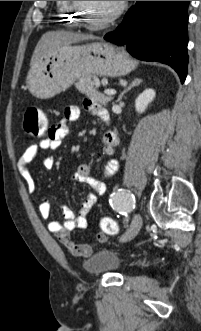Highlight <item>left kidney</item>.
<instances>
[{"instance_id":"left-kidney-1","label":"left kidney","mask_w":201,"mask_h":331,"mask_svg":"<svg viewBox=\"0 0 201 331\" xmlns=\"http://www.w3.org/2000/svg\"><path fill=\"white\" fill-rule=\"evenodd\" d=\"M155 98V91L153 89H146L135 100V109L138 113H143L147 106Z\"/></svg>"}]
</instances>
